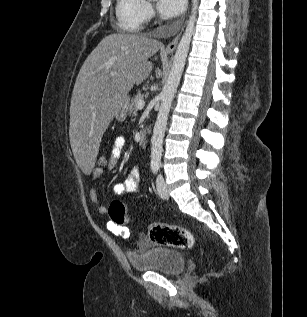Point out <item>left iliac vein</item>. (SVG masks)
Returning a JSON list of instances; mask_svg holds the SVG:
<instances>
[{
	"mask_svg": "<svg viewBox=\"0 0 307 317\" xmlns=\"http://www.w3.org/2000/svg\"><path fill=\"white\" fill-rule=\"evenodd\" d=\"M156 188H157V192H158L159 196L162 199H168V197H169L168 189H167V186H166L164 179L161 175H159L156 179Z\"/></svg>",
	"mask_w": 307,
	"mask_h": 317,
	"instance_id": "left-iliac-vein-1",
	"label": "left iliac vein"
}]
</instances>
